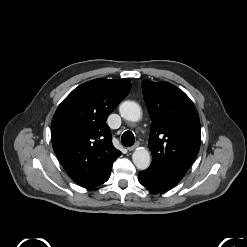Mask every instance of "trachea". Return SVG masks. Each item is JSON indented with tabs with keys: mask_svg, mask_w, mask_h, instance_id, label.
Masks as SVG:
<instances>
[{
	"mask_svg": "<svg viewBox=\"0 0 247 247\" xmlns=\"http://www.w3.org/2000/svg\"><path fill=\"white\" fill-rule=\"evenodd\" d=\"M121 142L126 147L132 146L135 142L134 134L131 131H125L121 137Z\"/></svg>",
	"mask_w": 247,
	"mask_h": 247,
	"instance_id": "obj_1",
	"label": "trachea"
}]
</instances>
